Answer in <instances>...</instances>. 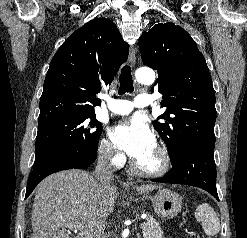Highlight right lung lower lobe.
Masks as SVG:
<instances>
[{
  "instance_id": "right-lung-lower-lobe-1",
  "label": "right lung lower lobe",
  "mask_w": 247,
  "mask_h": 238,
  "mask_svg": "<svg viewBox=\"0 0 247 238\" xmlns=\"http://www.w3.org/2000/svg\"><path fill=\"white\" fill-rule=\"evenodd\" d=\"M96 157L97 152L63 151L50 154L34 162L33 172L27 183L25 199L46 176L65 169L87 168L96 160Z\"/></svg>"
}]
</instances>
